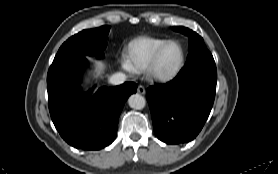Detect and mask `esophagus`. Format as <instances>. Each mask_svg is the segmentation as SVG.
<instances>
[{
  "mask_svg": "<svg viewBox=\"0 0 278 174\" xmlns=\"http://www.w3.org/2000/svg\"><path fill=\"white\" fill-rule=\"evenodd\" d=\"M137 92L141 95H144L146 90H145V87L142 86V85H139L138 88H137Z\"/></svg>",
  "mask_w": 278,
  "mask_h": 174,
  "instance_id": "esophagus-1",
  "label": "esophagus"
}]
</instances>
